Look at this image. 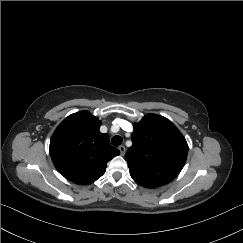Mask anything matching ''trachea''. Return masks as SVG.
Here are the masks:
<instances>
[{
	"label": "trachea",
	"mask_w": 243,
	"mask_h": 243,
	"mask_svg": "<svg viewBox=\"0 0 243 243\" xmlns=\"http://www.w3.org/2000/svg\"><path fill=\"white\" fill-rule=\"evenodd\" d=\"M122 142H123L122 137L121 136H118V135L112 137V139H111V143L114 146H119Z\"/></svg>",
	"instance_id": "1"
}]
</instances>
